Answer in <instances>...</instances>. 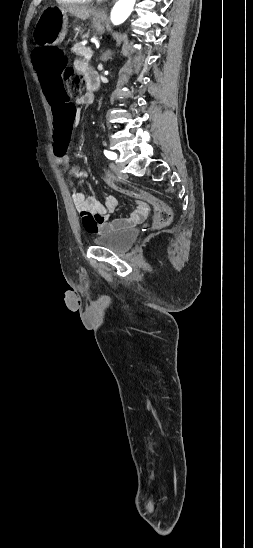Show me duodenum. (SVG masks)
I'll use <instances>...</instances> for the list:
<instances>
[{"label": "duodenum", "mask_w": 253, "mask_h": 548, "mask_svg": "<svg viewBox=\"0 0 253 548\" xmlns=\"http://www.w3.org/2000/svg\"><path fill=\"white\" fill-rule=\"evenodd\" d=\"M99 86V79L98 77L95 75H91L88 77L87 79V88L90 92H93L95 91Z\"/></svg>", "instance_id": "1"}]
</instances>
